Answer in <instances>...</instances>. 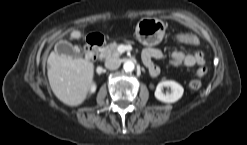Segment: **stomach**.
<instances>
[{
	"label": "stomach",
	"mask_w": 247,
	"mask_h": 145,
	"mask_svg": "<svg viewBox=\"0 0 247 145\" xmlns=\"http://www.w3.org/2000/svg\"><path fill=\"white\" fill-rule=\"evenodd\" d=\"M166 25L157 18H143L136 26L135 34L143 45L154 46L159 44L165 35Z\"/></svg>",
	"instance_id": "stomach-1"
}]
</instances>
